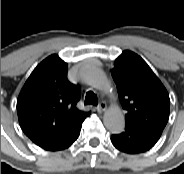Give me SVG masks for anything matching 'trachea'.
<instances>
[{
    "instance_id": "obj_1",
    "label": "trachea",
    "mask_w": 184,
    "mask_h": 174,
    "mask_svg": "<svg viewBox=\"0 0 184 174\" xmlns=\"http://www.w3.org/2000/svg\"><path fill=\"white\" fill-rule=\"evenodd\" d=\"M84 103L85 104L97 105L98 104L97 96L92 91H88L86 93Z\"/></svg>"
}]
</instances>
